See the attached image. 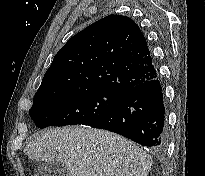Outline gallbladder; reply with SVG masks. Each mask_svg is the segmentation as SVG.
I'll use <instances>...</instances> for the list:
<instances>
[{"label": "gallbladder", "mask_w": 205, "mask_h": 176, "mask_svg": "<svg viewBox=\"0 0 205 176\" xmlns=\"http://www.w3.org/2000/svg\"><path fill=\"white\" fill-rule=\"evenodd\" d=\"M34 172L35 176H70L67 166L56 161L39 162Z\"/></svg>", "instance_id": "obj_1"}]
</instances>
